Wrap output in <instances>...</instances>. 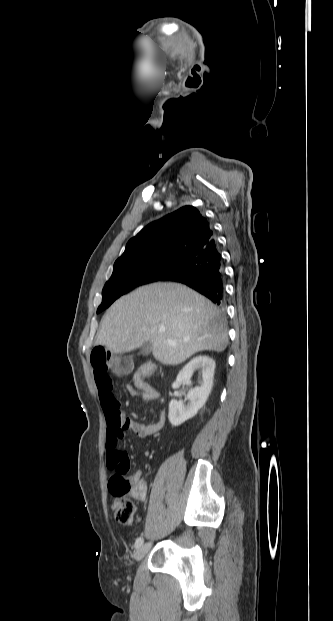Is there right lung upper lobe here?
<instances>
[{
	"label": "right lung upper lobe",
	"instance_id": "cb5924a9",
	"mask_svg": "<svg viewBox=\"0 0 333 621\" xmlns=\"http://www.w3.org/2000/svg\"><path fill=\"white\" fill-rule=\"evenodd\" d=\"M208 220L193 206H183L145 226L129 240L115 263L159 257L186 258L214 238Z\"/></svg>",
	"mask_w": 333,
	"mask_h": 621
}]
</instances>
